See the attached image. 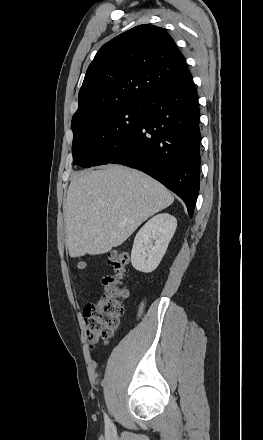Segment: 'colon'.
Here are the masks:
<instances>
[{
  "instance_id": "colon-1",
  "label": "colon",
  "mask_w": 263,
  "mask_h": 440,
  "mask_svg": "<svg viewBox=\"0 0 263 440\" xmlns=\"http://www.w3.org/2000/svg\"><path fill=\"white\" fill-rule=\"evenodd\" d=\"M108 263L114 275H107L102 279V293L87 304L84 311L92 351L96 350L94 343L100 340L109 341L112 338L124 312L123 301L128 297V290L120 280L129 264V255L121 250H113L108 254ZM79 267L84 268L85 263L80 262Z\"/></svg>"
}]
</instances>
